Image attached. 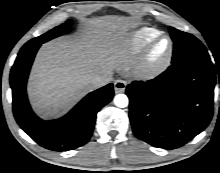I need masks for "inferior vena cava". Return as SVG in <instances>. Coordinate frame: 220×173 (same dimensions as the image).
<instances>
[{
    "label": "inferior vena cava",
    "instance_id": "obj_1",
    "mask_svg": "<svg viewBox=\"0 0 220 173\" xmlns=\"http://www.w3.org/2000/svg\"><path fill=\"white\" fill-rule=\"evenodd\" d=\"M113 81L112 73L107 72L104 75L97 76L91 80V87L97 89L103 87Z\"/></svg>",
    "mask_w": 220,
    "mask_h": 173
}]
</instances>
